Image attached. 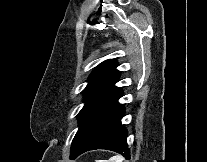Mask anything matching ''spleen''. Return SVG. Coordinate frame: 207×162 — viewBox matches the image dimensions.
Listing matches in <instances>:
<instances>
[{
  "label": "spleen",
  "mask_w": 207,
  "mask_h": 162,
  "mask_svg": "<svg viewBox=\"0 0 207 162\" xmlns=\"http://www.w3.org/2000/svg\"><path fill=\"white\" fill-rule=\"evenodd\" d=\"M124 158L120 155L111 157L109 160H96V162H123Z\"/></svg>",
  "instance_id": "obj_1"
}]
</instances>
